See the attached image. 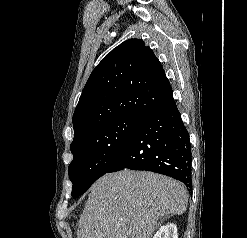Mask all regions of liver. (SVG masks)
I'll use <instances>...</instances> for the list:
<instances>
[{"mask_svg": "<svg viewBox=\"0 0 247 238\" xmlns=\"http://www.w3.org/2000/svg\"><path fill=\"white\" fill-rule=\"evenodd\" d=\"M187 191L164 175L123 170L98 179L80 215L77 238H151L158 219L182 215Z\"/></svg>", "mask_w": 247, "mask_h": 238, "instance_id": "obj_1", "label": "liver"}]
</instances>
